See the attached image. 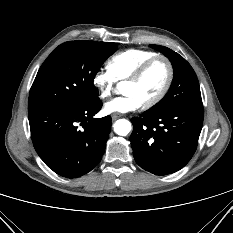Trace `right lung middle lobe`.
Segmentation results:
<instances>
[{"mask_svg": "<svg viewBox=\"0 0 233 233\" xmlns=\"http://www.w3.org/2000/svg\"><path fill=\"white\" fill-rule=\"evenodd\" d=\"M117 47L116 43L96 41H69L59 45L36 75L29 94L28 112L75 107L95 98V75Z\"/></svg>", "mask_w": 233, "mask_h": 233, "instance_id": "1", "label": "right lung middle lobe"}]
</instances>
